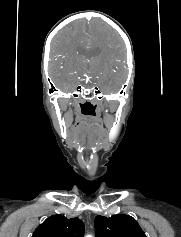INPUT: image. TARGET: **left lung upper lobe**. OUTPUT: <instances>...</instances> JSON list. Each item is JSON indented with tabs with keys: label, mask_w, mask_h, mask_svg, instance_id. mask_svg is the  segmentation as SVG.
<instances>
[{
	"label": "left lung upper lobe",
	"mask_w": 181,
	"mask_h": 237,
	"mask_svg": "<svg viewBox=\"0 0 181 237\" xmlns=\"http://www.w3.org/2000/svg\"><path fill=\"white\" fill-rule=\"evenodd\" d=\"M96 237H146L137 221L124 214L95 218Z\"/></svg>",
	"instance_id": "1"
}]
</instances>
